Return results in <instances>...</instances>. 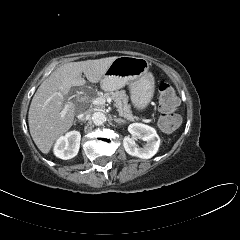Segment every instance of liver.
<instances>
[{
    "label": "liver",
    "instance_id": "liver-1",
    "mask_svg": "<svg viewBox=\"0 0 240 240\" xmlns=\"http://www.w3.org/2000/svg\"><path fill=\"white\" fill-rule=\"evenodd\" d=\"M116 58L64 64L39 86L30 104L28 123L32 139L42 153H49L56 139L66 133L73 124L76 106L71 102L64 103V96L71 87L83 86L86 83L82 73L89 82L98 83ZM64 109L66 113L62 116Z\"/></svg>",
    "mask_w": 240,
    "mask_h": 240
}]
</instances>
